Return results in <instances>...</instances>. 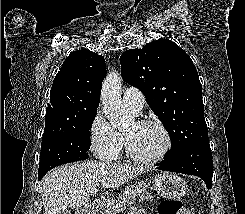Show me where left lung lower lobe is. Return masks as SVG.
<instances>
[{
  "mask_svg": "<svg viewBox=\"0 0 245 214\" xmlns=\"http://www.w3.org/2000/svg\"><path fill=\"white\" fill-rule=\"evenodd\" d=\"M157 168L198 176L208 188L212 187L213 160L209 142H199L177 154L165 156Z\"/></svg>",
  "mask_w": 245,
  "mask_h": 214,
  "instance_id": "left-lung-lower-lobe-1",
  "label": "left lung lower lobe"
}]
</instances>
